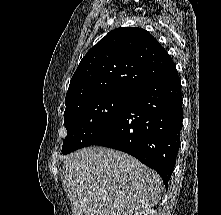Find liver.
<instances>
[{
	"label": "liver",
	"instance_id": "1",
	"mask_svg": "<svg viewBox=\"0 0 221 215\" xmlns=\"http://www.w3.org/2000/svg\"><path fill=\"white\" fill-rule=\"evenodd\" d=\"M64 183L74 215H133L161 199V177L124 152L89 147L65 157Z\"/></svg>",
	"mask_w": 221,
	"mask_h": 215
}]
</instances>
